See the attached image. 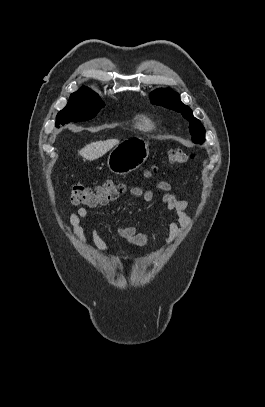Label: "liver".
<instances>
[{"mask_svg": "<svg viewBox=\"0 0 265 407\" xmlns=\"http://www.w3.org/2000/svg\"><path fill=\"white\" fill-rule=\"evenodd\" d=\"M119 143L120 142L118 139H108L105 141L92 142L83 147L79 151V154L83 158L89 161H93L106 154L108 151H110L113 147L117 146Z\"/></svg>", "mask_w": 265, "mask_h": 407, "instance_id": "6515ba94", "label": "liver"}]
</instances>
